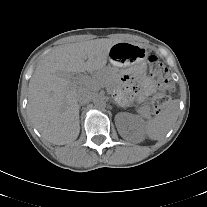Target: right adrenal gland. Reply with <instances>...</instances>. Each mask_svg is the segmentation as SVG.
I'll use <instances>...</instances> for the list:
<instances>
[{"mask_svg":"<svg viewBox=\"0 0 207 207\" xmlns=\"http://www.w3.org/2000/svg\"><path fill=\"white\" fill-rule=\"evenodd\" d=\"M83 106V104H80L79 107Z\"/></svg>","mask_w":207,"mask_h":207,"instance_id":"obj_1","label":"right adrenal gland"}]
</instances>
